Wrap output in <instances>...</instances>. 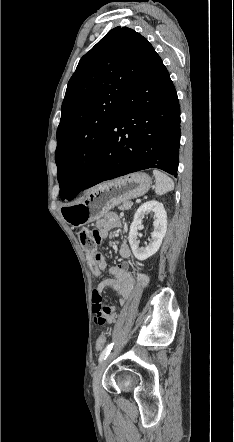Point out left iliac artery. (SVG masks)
<instances>
[{
	"mask_svg": "<svg viewBox=\"0 0 234 442\" xmlns=\"http://www.w3.org/2000/svg\"><path fill=\"white\" fill-rule=\"evenodd\" d=\"M114 343L109 344L101 353L100 357H99V362H102L103 360H105L107 358V356L109 355L112 347H113Z\"/></svg>",
	"mask_w": 234,
	"mask_h": 442,
	"instance_id": "44dca946",
	"label": "left iliac artery"
}]
</instances>
